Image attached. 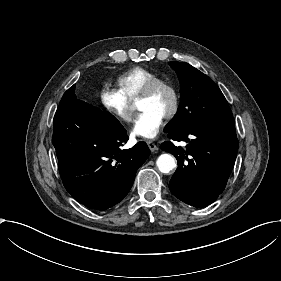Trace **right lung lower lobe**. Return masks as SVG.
<instances>
[{
    "label": "right lung lower lobe",
    "instance_id": "1",
    "mask_svg": "<svg viewBox=\"0 0 281 281\" xmlns=\"http://www.w3.org/2000/svg\"><path fill=\"white\" fill-rule=\"evenodd\" d=\"M127 131L110 113L78 100L75 85L63 95L53 120L52 143L66 190L90 209L106 210L131 189L150 155L145 142L121 150Z\"/></svg>",
    "mask_w": 281,
    "mask_h": 281
}]
</instances>
